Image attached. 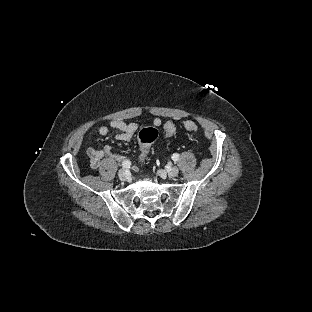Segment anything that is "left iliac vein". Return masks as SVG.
I'll use <instances>...</instances> for the list:
<instances>
[{
	"label": "left iliac vein",
	"instance_id": "obj_1",
	"mask_svg": "<svg viewBox=\"0 0 312 312\" xmlns=\"http://www.w3.org/2000/svg\"><path fill=\"white\" fill-rule=\"evenodd\" d=\"M168 176L174 177L177 176L179 173V169L175 166L170 167L167 171Z\"/></svg>",
	"mask_w": 312,
	"mask_h": 312
}]
</instances>
